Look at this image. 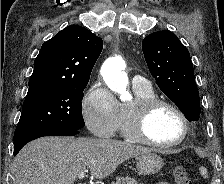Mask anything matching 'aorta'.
<instances>
[{"mask_svg": "<svg viewBox=\"0 0 224 184\" xmlns=\"http://www.w3.org/2000/svg\"><path fill=\"white\" fill-rule=\"evenodd\" d=\"M125 62L121 57H112L107 59L102 68L101 75L107 86L120 95L122 101L130 99V93L127 91L128 76L125 73Z\"/></svg>", "mask_w": 224, "mask_h": 184, "instance_id": "aorta-1", "label": "aorta"}]
</instances>
